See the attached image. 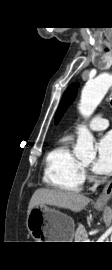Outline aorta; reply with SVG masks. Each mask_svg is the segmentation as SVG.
Masks as SVG:
<instances>
[{
    "instance_id": "aorta-1",
    "label": "aorta",
    "mask_w": 112,
    "mask_h": 270,
    "mask_svg": "<svg viewBox=\"0 0 112 270\" xmlns=\"http://www.w3.org/2000/svg\"><path fill=\"white\" fill-rule=\"evenodd\" d=\"M111 86L112 75L109 74H101L84 86L78 107L83 117L88 118L93 114ZM93 141L94 137L91 132L85 126H80L78 128L77 143L74 148L75 156L78 159H95L96 151L93 147Z\"/></svg>"
}]
</instances>
